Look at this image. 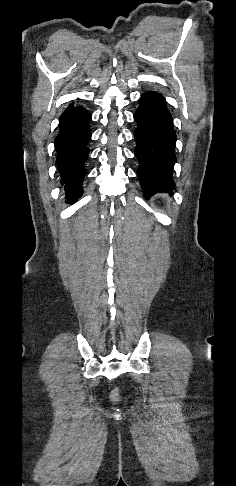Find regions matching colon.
I'll list each match as a JSON object with an SVG mask.
<instances>
[{
  "mask_svg": "<svg viewBox=\"0 0 236 486\" xmlns=\"http://www.w3.org/2000/svg\"><path fill=\"white\" fill-rule=\"evenodd\" d=\"M111 399L113 401H119L120 397H119V389L118 388H115L112 393H111Z\"/></svg>",
  "mask_w": 236,
  "mask_h": 486,
  "instance_id": "1",
  "label": "colon"
}]
</instances>
